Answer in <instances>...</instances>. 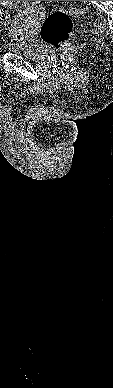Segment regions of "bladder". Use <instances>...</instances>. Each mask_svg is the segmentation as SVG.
Wrapping results in <instances>:
<instances>
[{"instance_id": "obj_1", "label": "bladder", "mask_w": 113, "mask_h": 388, "mask_svg": "<svg viewBox=\"0 0 113 388\" xmlns=\"http://www.w3.org/2000/svg\"><path fill=\"white\" fill-rule=\"evenodd\" d=\"M33 17L35 18L18 21L15 25V32L12 33L14 42L7 44L5 48L11 53L22 55L28 59L41 60L47 56L52 48L31 38L40 25L38 16Z\"/></svg>"}]
</instances>
